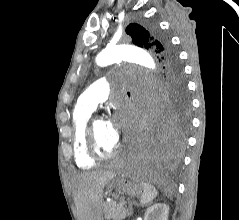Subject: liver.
<instances>
[{"mask_svg":"<svg viewBox=\"0 0 239 220\" xmlns=\"http://www.w3.org/2000/svg\"><path fill=\"white\" fill-rule=\"evenodd\" d=\"M116 172L92 171L77 175L72 180L74 202L79 220H99L102 216L103 190Z\"/></svg>","mask_w":239,"mask_h":220,"instance_id":"obj_1","label":"liver"}]
</instances>
